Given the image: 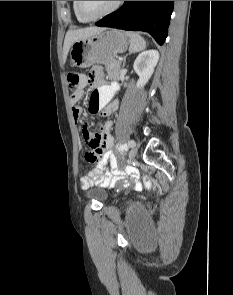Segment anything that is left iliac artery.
Here are the masks:
<instances>
[{"instance_id": "1", "label": "left iliac artery", "mask_w": 233, "mask_h": 295, "mask_svg": "<svg viewBox=\"0 0 233 295\" xmlns=\"http://www.w3.org/2000/svg\"><path fill=\"white\" fill-rule=\"evenodd\" d=\"M127 143L129 144L130 147L134 146V142L132 140H129Z\"/></svg>"}]
</instances>
